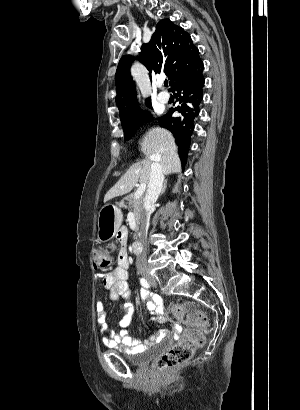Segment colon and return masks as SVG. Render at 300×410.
Listing matches in <instances>:
<instances>
[{"label":"colon","mask_w":300,"mask_h":410,"mask_svg":"<svg viewBox=\"0 0 300 410\" xmlns=\"http://www.w3.org/2000/svg\"><path fill=\"white\" fill-rule=\"evenodd\" d=\"M92 260L96 269L109 268L112 264L111 248L94 250ZM172 311L176 316L182 317L177 321L178 326H187V329L181 340L158 358L156 367L163 375L190 361L194 352L204 345V329L208 326L207 317L192 303H176Z\"/></svg>","instance_id":"obj_1"}]
</instances>
